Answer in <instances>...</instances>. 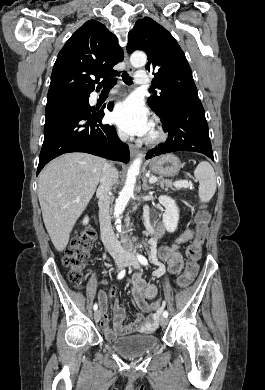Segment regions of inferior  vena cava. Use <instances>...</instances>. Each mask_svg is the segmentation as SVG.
<instances>
[{
	"label": "inferior vena cava",
	"instance_id": "602c4592",
	"mask_svg": "<svg viewBox=\"0 0 265 390\" xmlns=\"http://www.w3.org/2000/svg\"><path fill=\"white\" fill-rule=\"evenodd\" d=\"M120 139L122 141L127 140V136L120 134ZM118 180V172L111 164L105 162L102 174L100 177V185L97 190V196L99 198V222H100V232L101 239L106 248V250L114 256L124 255V251L118 242L111 225L110 218V192L112 186Z\"/></svg>",
	"mask_w": 265,
	"mask_h": 390
}]
</instances>
